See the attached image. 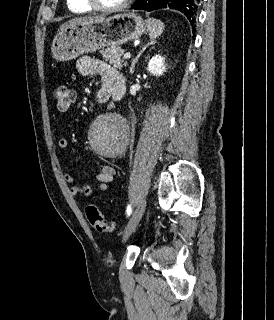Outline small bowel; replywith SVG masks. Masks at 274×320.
I'll list each match as a JSON object with an SVG mask.
<instances>
[{
    "label": "small bowel",
    "instance_id": "small-bowel-1",
    "mask_svg": "<svg viewBox=\"0 0 274 320\" xmlns=\"http://www.w3.org/2000/svg\"><path fill=\"white\" fill-rule=\"evenodd\" d=\"M78 72L83 76H99L101 79V87L99 92L108 93L112 100L120 99L125 92L124 78L118 71L111 68L103 61L91 56H82L76 62ZM58 146L64 149L68 146V140L61 138L58 141ZM116 168L112 165H103L97 169L95 178L97 184L94 187L89 185H79L76 179L69 173L63 172V179L69 183L70 195L72 197H90L93 194H100L106 191L107 185L114 180Z\"/></svg>",
    "mask_w": 274,
    "mask_h": 320
}]
</instances>
